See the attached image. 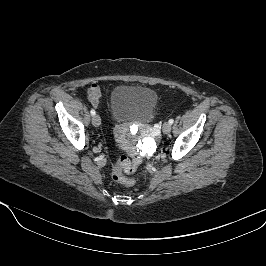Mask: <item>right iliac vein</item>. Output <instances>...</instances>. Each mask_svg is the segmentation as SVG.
I'll return each instance as SVG.
<instances>
[{"instance_id": "1", "label": "right iliac vein", "mask_w": 266, "mask_h": 266, "mask_svg": "<svg viewBox=\"0 0 266 266\" xmlns=\"http://www.w3.org/2000/svg\"><path fill=\"white\" fill-rule=\"evenodd\" d=\"M92 124L95 126V127H98L100 124H101V118L99 115H94L93 118H92Z\"/></svg>"}]
</instances>
